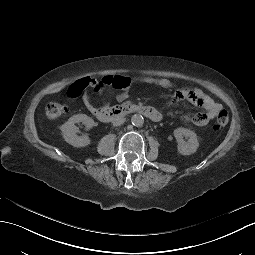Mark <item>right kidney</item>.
Here are the masks:
<instances>
[{"label":"right kidney","instance_id":"ca27d5eb","mask_svg":"<svg viewBox=\"0 0 255 255\" xmlns=\"http://www.w3.org/2000/svg\"><path fill=\"white\" fill-rule=\"evenodd\" d=\"M83 122L86 126L91 127L93 120L85 114H77L68 119V121L61 126V132L65 141L77 148H84L91 144V139L86 136H77L79 129L75 126L76 123Z\"/></svg>","mask_w":255,"mask_h":255}]
</instances>
